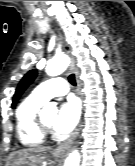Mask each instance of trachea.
<instances>
[{
    "label": "trachea",
    "mask_w": 135,
    "mask_h": 166,
    "mask_svg": "<svg viewBox=\"0 0 135 166\" xmlns=\"http://www.w3.org/2000/svg\"><path fill=\"white\" fill-rule=\"evenodd\" d=\"M68 80H69V82H70L73 86L76 85V80H75L74 74H71V75L68 77Z\"/></svg>",
    "instance_id": "3493384b"
}]
</instances>
